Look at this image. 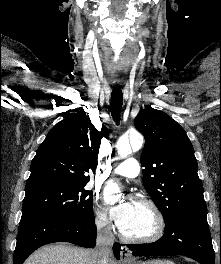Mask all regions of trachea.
<instances>
[{
    "mask_svg": "<svg viewBox=\"0 0 221 264\" xmlns=\"http://www.w3.org/2000/svg\"><path fill=\"white\" fill-rule=\"evenodd\" d=\"M123 94L120 87H114L111 93V114L113 120L119 124L122 108Z\"/></svg>",
    "mask_w": 221,
    "mask_h": 264,
    "instance_id": "1",
    "label": "trachea"
}]
</instances>
